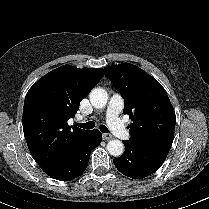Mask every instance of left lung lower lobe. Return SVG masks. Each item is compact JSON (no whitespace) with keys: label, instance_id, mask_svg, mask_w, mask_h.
<instances>
[{"label":"left lung lower lobe","instance_id":"obj_1","mask_svg":"<svg viewBox=\"0 0 209 209\" xmlns=\"http://www.w3.org/2000/svg\"><path fill=\"white\" fill-rule=\"evenodd\" d=\"M124 154L113 160L116 168L124 175L145 178L160 168L169 151L144 147L131 140L123 141Z\"/></svg>","mask_w":209,"mask_h":209}]
</instances>
